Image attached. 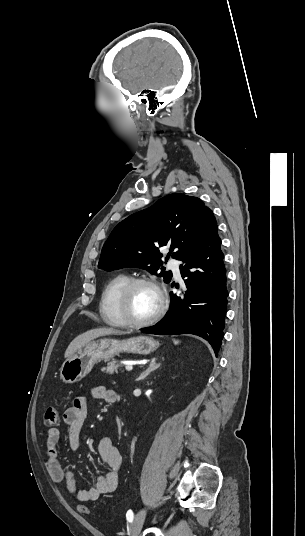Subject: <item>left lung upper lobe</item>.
I'll use <instances>...</instances> for the list:
<instances>
[{"instance_id": "obj_1", "label": "left lung upper lobe", "mask_w": 305, "mask_h": 536, "mask_svg": "<svg viewBox=\"0 0 305 536\" xmlns=\"http://www.w3.org/2000/svg\"><path fill=\"white\" fill-rule=\"evenodd\" d=\"M217 228L212 211L197 197L170 194L151 207L120 222L105 242L98 267L111 271L123 267L146 269L152 274L162 266L159 248L170 247L167 256L183 261ZM169 282L172 273L161 271Z\"/></svg>"}]
</instances>
